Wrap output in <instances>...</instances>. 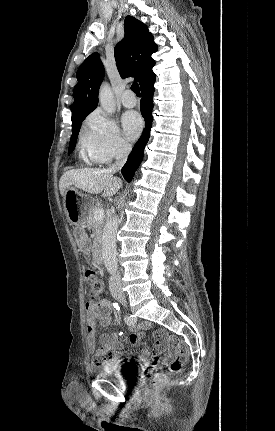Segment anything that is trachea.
<instances>
[{
    "label": "trachea",
    "instance_id": "1",
    "mask_svg": "<svg viewBox=\"0 0 275 431\" xmlns=\"http://www.w3.org/2000/svg\"><path fill=\"white\" fill-rule=\"evenodd\" d=\"M131 90L137 95V96H141V93H140V89H139V85H138V83H133L132 84V86H131Z\"/></svg>",
    "mask_w": 275,
    "mask_h": 431
}]
</instances>
